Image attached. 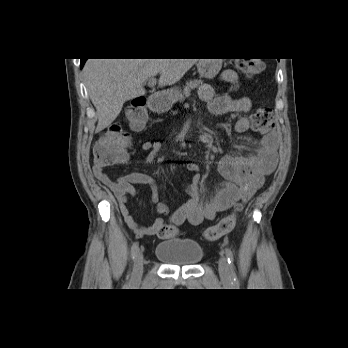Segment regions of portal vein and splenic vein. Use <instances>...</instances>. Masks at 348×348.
I'll return each instance as SVG.
<instances>
[{
  "label": "portal vein and splenic vein",
  "mask_w": 348,
  "mask_h": 348,
  "mask_svg": "<svg viewBox=\"0 0 348 348\" xmlns=\"http://www.w3.org/2000/svg\"><path fill=\"white\" fill-rule=\"evenodd\" d=\"M156 84V79L155 78H150L149 81H148V85L150 87H153L154 85Z\"/></svg>",
  "instance_id": "1"
}]
</instances>
